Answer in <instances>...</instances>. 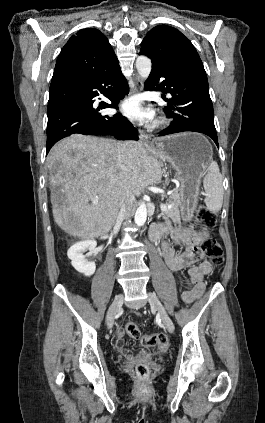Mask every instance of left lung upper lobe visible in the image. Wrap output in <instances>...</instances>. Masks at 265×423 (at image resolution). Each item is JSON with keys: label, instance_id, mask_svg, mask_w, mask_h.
Listing matches in <instances>:
<instances>
[{"label": "left lung upper lobe", "instance_id": "obj_1", "mask_svg": "<svg viewBox=\"0 0 265 423\" xmlns=\"http://www.w3.org/2000/svg\"><path fill=\"white\" fill-rule=\"evenodd\" d=\"M184 45L192 43L179 30L167 25H158L144 38L140 55L151 58L152 66L158 65Z\"/></svg>", "mask_w": 265, "mask_h": 423}]
</instances>
